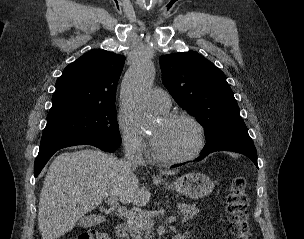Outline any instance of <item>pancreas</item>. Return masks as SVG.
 I'll return each mask as SVG.
<instances>
[{
  "mask_svg": "<svg viewBox=\"0 0 304 239\" xmlns=\"http://www.w3.org/2000/svg\"><path fill=\"white\" fill-rule=\"evenodd\" d=\"M178 208L183 217V222L193 218L199 213V209L195 205H187L185 203L178 204ZM149 212L142 213V216L132 222L127 221V229L131 239H153L151 233L152 225Z\"/></svg>",
  "mask_w": 304,
  "mask_h": 239,
  "instance_id": "pancreas-1",
  "label": "pancreas"
}]
</instances>
